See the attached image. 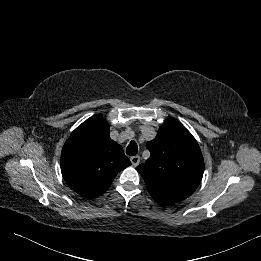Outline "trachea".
Segmentation results:
<instances>
[{"instance_id":"trachea-1","label":"trachea","mask_w":261,"mask_h":261,"mask_svg":"<svg viewBox=\"0 0 261 261\" xmlns=\"http://www.w3.org/2000/svg\"><path fill=\"white\" fill-rule=\"evenodd\" d=\"M138 152V146L135 141H131L127 146L126 153L130 156H135Z\"/></svg>"}]
</instances>
